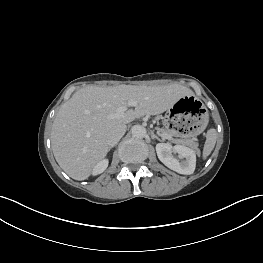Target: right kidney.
I'll list each match as a JSON object with an SVG mask.
<instances>
[{"label": "right kidney", "instance_id": "right-kidney-1", "mask_svg": "<svg viewBox=\"0 0 263 263\" xmlns=\"http://www.w3.org/2000/svg\"><path fill=\"white\" fill-rule=\"evenodd\" d=\"M107 167H108V159H103L95 165V167L92 170V174L93 175L101 174L106 170Z\"/></svg>", "mask_w": 263, "mask_h": 263}]
</instances>
